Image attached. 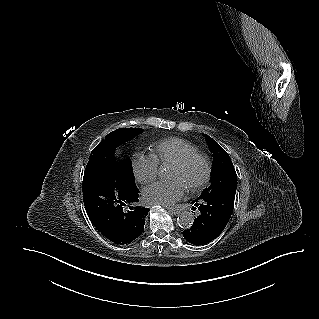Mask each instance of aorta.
<instances>
[{
    "label": "aorta",
    "mask_w": 319,
    "mask_h": 319,
    "mask_svg": "<svg viewBox=\"0 0 319 319\" xmlns=\"http://www.w3.org/2000/svg\"><path fill=\"white\" fill-rule=\"evenodd\" d=\"M194 222V217L190 211H182L177 217V224L181 228H190Z\"/></svg>",
    "instance_id": "1"
}]
</instances>
